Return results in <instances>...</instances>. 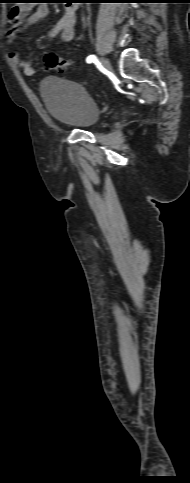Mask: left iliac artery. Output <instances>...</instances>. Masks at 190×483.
<instances>
[{
	"mask_svg": "<svg viewBox=\"0 0 190 483\" xmlns=\"http://www.w3.org/2000/svg\"><path fill=\"white\" fill-rule=\"evenodd\" d=\"M95 59H96V56L95 55H90V56L87 57L86 61H87V63H91Z\"/></svg>",
	"mask_w": 190,
	"mask_h": 483,
	"instance_id": "left-iliac-artery-1",
	"label": "left iliac artery"
}]
</instances>
